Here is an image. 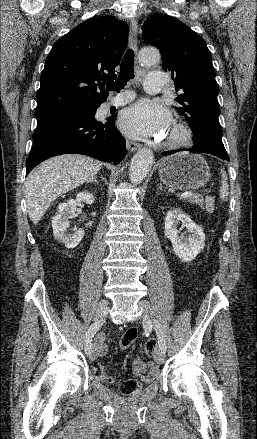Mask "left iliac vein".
I'll list each match as a JSON object with an SVG mask.
<instances>
[{"mask_svg":"<svg viewBox=\"0 0 257 439\" xmlns=\"http://www.w3.org/2000/svg\"><path fill=\"white\" fill-rule=\"evenodd\" d=\"M139 310L143 313V321L145 324H150L153 320V310L150 303L146 300H140L138 302ZM155 359L159 364H162L165 361V353H163L160 349L155 355Z\"/></svg>","mask_w":257,"mask_h":439,"instance_id":"left-iliac-vein-1","label":"left iliac vein"}]
</instances>
